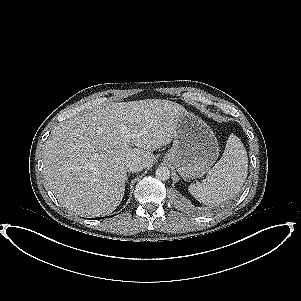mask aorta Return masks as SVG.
<instances>
[{
  "mask_svg": "<svg viewBox=\"0 0 301 301\" xmlns=\"http://www.w3.org/2000/svg\"><path fill=\"white\" fill-rule=\"evenodd\" d=\"M155 176L160 181H167L170 178V170L161 166L155 171Z\"/></svg>",
  "mask_w": 301,
  "mask_h": 301,
  "instance_id": "obj_1",
  "label": "aorta"
}]
</instances>
